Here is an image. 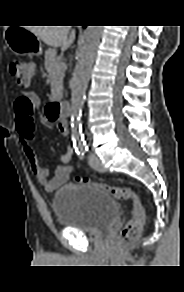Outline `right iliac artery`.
<instances>
[{"instance_id": "1", "label": "right iliac artery", "mask_w": 184, "mask_h": 292, "mask_svg": "<svg viewBox=\"0 0 184 292\" xmlns=\"http://www.w3.org/2000/svg\"><path fill=\"white\" fill-rule=\"evenodd\" d=\"M76 153L81 160L85 158L86 151L84 150V148L76 149Z\"/></svg>"}]
</instances>
